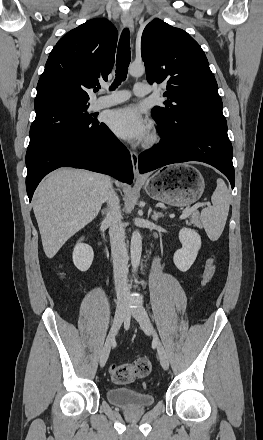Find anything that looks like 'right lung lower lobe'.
<instances>
[{"label": "right lung lower lobe", "instance_id": "obj_1", "mask_svg": "<svg viewBox=\"0 0 263 440\" xmlns=\"http://www.w3.org/2000/svg\"><path fill=\"white\" fill-rule=\"evenodd\" d=\"M26 190L31 201L39 182L60 167H74L111 175L131 184V156L110 129L100 123L85 131H70L27 149Z\"/></svg>", "mask_w": 263, "mask_h": 440}]
</instances>
